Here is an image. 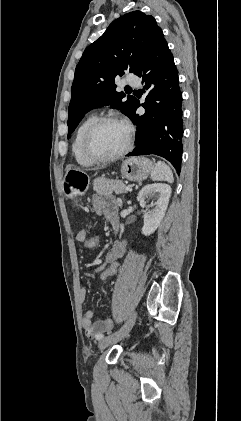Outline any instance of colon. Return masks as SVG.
<instances>
[{"label": "colon", "instance_id": "obj_1", "mask_svg": "<svg viewBox=\"0 0 241 421\" xmlns=\"http://www.w3.org/2000/svg\"><path fill=\"white\" fill-rule=\"evenodd\" d=\"M100 242V236L98 233H93L90 236H87L86 240L84 241L83 245L88 250L95 249ZM121 269V264L118 261H114L110 263L101 273V280L103 282L110 281L114 276H116Z\"/></svg>", "mask_w": 241, "mask_h": 421}]
</instances>
